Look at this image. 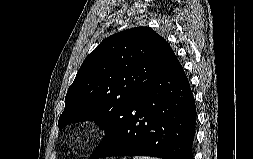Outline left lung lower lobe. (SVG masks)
<instances>
[{"label": "left lung lower lobe", "instance_id": "obj_1", "mask_svg": "<svg viewBox=\"0 0 253 159\" xmlns=\"http://www.w3.org/2000/svg\"><path fill=\"white\" fill-rule=\"evenodd\" d=\"M196 106L177 57L122 112L115 131L90 156L193 159Z\"/></svg>", "mask_w": 253, "mask_h": 159}]
</instances>
